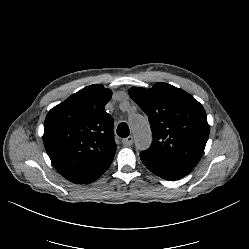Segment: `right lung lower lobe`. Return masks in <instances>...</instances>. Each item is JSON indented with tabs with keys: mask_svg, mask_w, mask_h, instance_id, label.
I'll return each instance as SVG.
<instances>
[{
	"mask_svg": "<svg viewBox=\"0 0 249 249\" xmlns=\"http://www.w3.org/2000/svg\"><path fill=\"white\" fill-rule=\"evenodd\" d=\"M111 165V164H110ZM108 165L103 171H101L98 175H96L95 177H93L92 179H90L88 182H86V184H89V183H92L94 182L95 180H97L108 168L109 166Z\"/></svg>",
	"mask_w": 249,
	"mask_h": 249,
	"instance_id": "1",
	"label": "right lung lower lobe"
}]
</instances>
